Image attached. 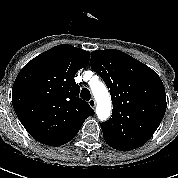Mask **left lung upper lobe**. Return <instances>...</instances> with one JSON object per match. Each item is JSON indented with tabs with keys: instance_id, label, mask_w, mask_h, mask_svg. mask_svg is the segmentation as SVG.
Segmentation results:
<instances>
[{
	"instance_id": "left-lung-upper-lobe-1",
	"label": "left lung upper lobe",
	"mask_w": 178,
	"mask_h": 178,
	"mask_svg": "<svg viewBox=\"0 0 178 178\" xmlns=\"http://www.w3.org/2000/svg\"><path fill=\"white\" fill-rule=\"evenodd\" d=\"M91 68L110 89L111 118L101 124L108 145L120 151L146 143L166 111L165 88L148 66L115 49L91 53Z\"/></svg>"
}]
</instances>
